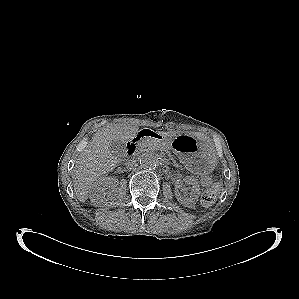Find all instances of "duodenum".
I'll return each mask as SVG.
<instances>
[{
    "instance_id": "duodenum-1",
    "label": "duodenum",
    "mask_w": 299,
    "mask_h": 299,
    "mask_svg": "<svg viewBox=\"0 0 299 299\" xmlns=\"http://www.w3.org/2000/svg\"><path fill=\"white\" fill-rule=\"evenodd\" d=\"M145 137H156V134L148 129L140 131L128 144L127 153L133 155L136 152L139 142Z\"/></svg>"
}]
</instances>
